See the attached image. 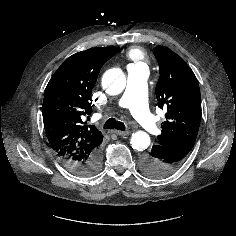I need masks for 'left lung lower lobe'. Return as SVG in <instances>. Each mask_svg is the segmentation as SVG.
<instances>
[{
    "label": "left lung lower lobe",
    "instance_id": "left-lung-lower-lobe-1",
    "mask_svg": "<svg viewBox=\"0 0 236 236\" xmlns=\"http://www.w3.org/2000/svg\"><path fill=\"white\" fill-rule=\"evenodd\" d=\"M193 145L190 143L155 144L141 159L143 172L152 178L171 175L181 167Z\"/></svg>",
    "mask_w": 236,
    "mask_h": 236
}]
</instances>
